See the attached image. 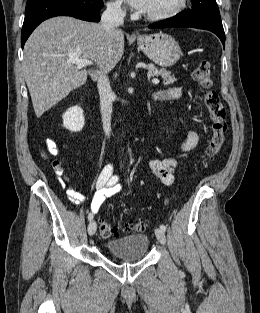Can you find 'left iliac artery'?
<instances>
[{
    "instance_id": "obj_1",
    "label": "left iliac artery",
    "mask_w": 260,
    "mask_h": 313,
    "mask_svg": "<svg viewBox=\"0 0 260 313\" xmlns=\"http://www.w3.org/2000/svg\"><path fill=\"white\" fill-rule=\"evenodd\" d=\"M160 229H162L163 231H165L166 230V226L165 225H160Z\"/></svg>"
}]
</instances>
